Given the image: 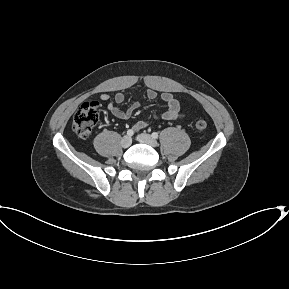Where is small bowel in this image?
Listing matches in <instances>:
<instances>
[{
  "instance_id": "small-bowel-1",
  "label": "small bowel",
  "mask_w": 289,
  "mask_h": 289,
  "mask_svg": "<svg viewBox=\"0 0 289 289\" xmlns=\"http://www.w3.org/2000/svg\"><path fill=\"white\" fill-rule=\"evenodd\" d=\"M145 94L148 99H155L157 97V92L152 89L147 90ZM161 99L167 106L166 111L161 115L162 119L175 120L182 116L180 102L177 98L174 97L172 93H162ZM100 100L103 102H107V109L113 116L123 120L128 119L132 115L133 111L139 106V103L136 102L127 109H120L119 107H117L116 104H121L125 100V95L122 92L116 93L113 97L108 94H102L100 96ZM146 126V122L139 121L134 125L133 128L134 130L138 131L145 128Z\"/></svg>"
}]
</instances>
